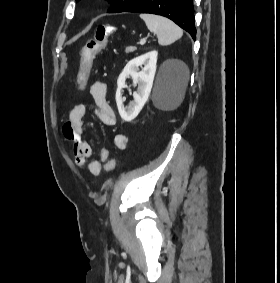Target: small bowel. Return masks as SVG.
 Returning <instances> with one entry per match:
<instances>
[{
    "mask_svg": "<svg viewBox=\"0 0 280 283\" xmlns=\"http://www.w3.org/2000/svg\"><path fill=\"white\" fill-rule=\"evenodd\" d=\"M106 85L101 81H95L90 86V94L94 101V111L98 120L105 126H113L116 123L115 115L106 98ZM87 106L78 104L72 108L67 120L63 124L62 134L66 141L73 145L74 163L79 168H88L93 176H98L102 172V162L107 163L111 158V152L107 148L100 150V160L88 162L92 156V148L84 140V115ZM91 126L92 124L89 123ZM115 146L119 150H124L128 144V138L124 134H117L114 138Z\"/></svg>",
    "mask_w": 280,
    "mask_h": 283,
    "instance_id": "c3829d8e",
    "label": "small bowel"
}]
</instances>
